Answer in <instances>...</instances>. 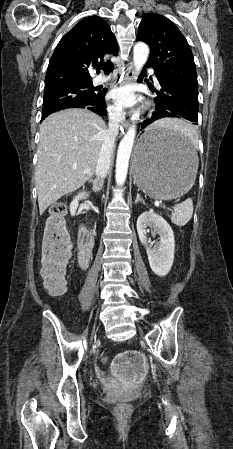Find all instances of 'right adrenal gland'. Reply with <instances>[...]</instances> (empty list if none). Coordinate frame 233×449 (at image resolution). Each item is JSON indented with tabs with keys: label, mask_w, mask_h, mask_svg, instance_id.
Masks as SVG:
<instances>
[{
	"label": "right adrenal gland",
	"mask_w": 233,
	"mask_h": 449,
	"mask_svg": "<svg viewBox=\"0 0 233 449\" xmlns=\"http://www.w3.org/2000/svg\"><path fill=\"white\" fill-rule=\"evenodd\" d=\"M88 182L92 183V190L95 193L99 192L102 189L104 183L103 180L99 181L98 179H89Z\"/></svg>",
	"instance_id": "right-adrenal-gland-1"
}]
</instances>
